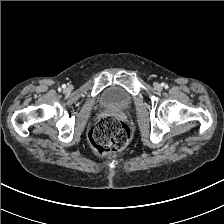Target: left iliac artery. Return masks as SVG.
<instances>
[{
    "label": "left iliac artery",
    "instance_id": "1",
    "mask_svg": "<svg viewBox=\"0 0 224 224\" xmlns=\"http://www.w3.org/2000/svg\"><path fill=\"white\" fill-rule=\"evenodd\" d=\"M163 86L167 87V85L163 84Z\"/></svg>",
    "mask_w": 224,
    "mask_h": 224
}]
</instances>
